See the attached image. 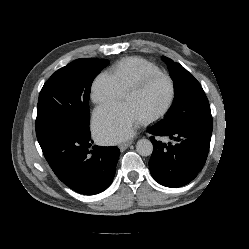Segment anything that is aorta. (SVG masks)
I'll use <instances>...</instances> for the list:
<instances>
[{
  "mask_svg": "<svg viewBox=\"0 0 249 249\" xmlns=\"http://www.w3.org/2000/svg\"><path fill=\"white\" fill-rule=\"evenodd\" d=\"M136 150L141 156L147 157L152 154L153 145L150 140L143 138L138 140L136 144Z\"/></svg>",
  "mask_w": 249,
  "mask_h": 249,
  "instance_id": "762f6f07",
  "label": "aorta"
}]
</instances>
